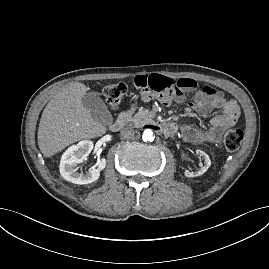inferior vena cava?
<instances>
[{"label":"inferior vena cava","mask_w":269,"mask_h":269,"mask_svg":"<svg viewBox=\"0 0 269 269\" xmlns=\"http://www.w3.org/2000/svg\"><path fill=\"white\" fill-rule=\"evenodd\" d=\"M121 135H122L124 138L131 139V138L134 137V135H135V131H134V129H132L131 127H124V128L121 130Z\"/></svg>","instance_id":"obj_1"}]
</instances>
